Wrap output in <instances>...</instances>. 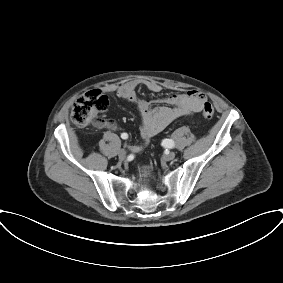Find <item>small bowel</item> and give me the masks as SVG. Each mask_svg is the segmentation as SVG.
<instances>
[{
    "label": "small bowel",
    "instance_id": "c3829d8e",
    "mask_svg": "<svg viewBox=\"0 0 283 283\" xmlns=\"http://www.w3.org/2000/svg\"><path fill=\"white\" fill-rule=\"evenodd\" d=\"M139 86H143L154 93L162 90L161 84L156 81H128L123 84H109L98 89L102 94H116L119 98L132 104L139 113L142 121V143L129 146V150L134 153L141 151L147 146L150 138L161 132L173 120L201 111L203 104L207 101L205 94L198 90L173 94L163 100L141 99L136 92ZM158 102H165L172 107L164 105L154 106ZM100 125L112 131L119 129L113 120H104Z\"/></svg>",
    "mask_w": 283,
    "mask_h": 283
}]
</instances>
